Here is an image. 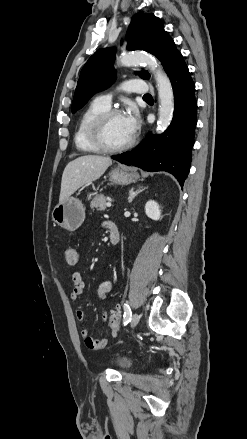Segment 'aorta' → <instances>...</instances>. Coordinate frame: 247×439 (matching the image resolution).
I'll list each match as a JSON object with an SVG mask.
<instances>
[{"label": "aorta", "instance_id": "aorta-1", "mask_svg": "<svg viewBox=\"0 0 247 439\" xmlns=\"http://www.w3.org/2000/svg\"><path fill=\"white\" fill-rule=\"evenodd\" d=\"M119 61L123 66H136L143 63L153 72L159 98L157 131L160 133L165 131L170 125L174 113V95L168 76L159 67L157 60L147 54L140 52L126 53L120 56Z\"/></svg>", "mask_w": 247, "mask_h": 439}]
</instances>
